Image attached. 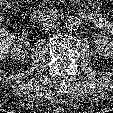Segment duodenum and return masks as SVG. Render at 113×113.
Instances as JSON below:
<instances>
[{
    "label": "duodenum",
    "instance_id": "410a0bca",
    "mask_svg": "<svg viewBox=\"0 0 113 113\" xmlns=\"http://www.w3.org/2000/svg\"><path fill=\"white\" fill-rule=\"evenodd\" d=\"M80 16L84 19H87V14L81 13ZM33 20L36 19H47V20H57L60 19V14L58 12L49 11V10H39L36 13L31 15Z\"/></svg>",
    "mask_w": 113,
    "mask_h": 113
}]
</instances>
